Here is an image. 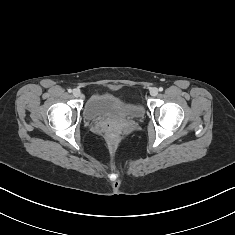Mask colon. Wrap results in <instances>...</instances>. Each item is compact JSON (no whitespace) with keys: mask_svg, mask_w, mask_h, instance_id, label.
I'll list each match as a JSON object with an SVG mask.
<instances>
[{"mask_svg":"<svg viewBox=\"0 0 235 235\" xmlns=\"http://www.w3.org/2000/svg\"><path fill=\"white\" fill-rule=\"evenodd\" d=\"M107 129L113 134L111 127L107 126Z\"/></svg>","mask_w":235,"mask_h":235,"instance_id":"obj_1","label":"colon"}]
</instances>
